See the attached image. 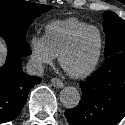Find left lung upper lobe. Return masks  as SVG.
I'll return each instance as SVG.
<instances>
[{"instance_id":"left-lung-upper-lobe-1","label":"left lung upper lobe","mask_w":125,"mask_h":125,"mask_svg":"<svg viewBox=\"0 0 125 125\" xmlns=\"http://www.w3.org/2000/svg\"><path fill=\"white\" fill-rule=\"evenodd\" d=\"M103 29L106 35L104 56L125 52V21L113 12L103 14Z\"/></svg>"}]
</instances>
